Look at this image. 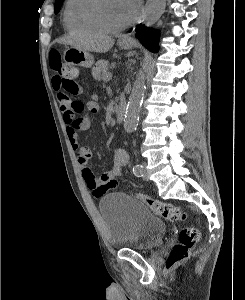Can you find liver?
<instances>
[{
  "mask_svg": "<svg viewBox=\"0 0 245 300\" xmlns=\"http://www.w3.org/2000/svg\"><path fill=\"white\" fill-rule=\"evenodd\" d=\"M59 43L71 45L84 51L105 53L114 45V39L106 35H69L59 40Z\"/></svg>",
  "mask_w": 245,
  "mask_h": 300,
  "instance_id": "liver-1",
  "label": "liver"
}]
</instances>
